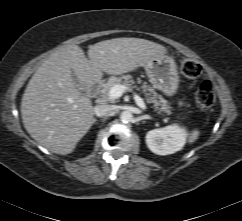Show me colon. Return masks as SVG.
Listing matches in <instances>:
<instances>
[{
    "mask_svg": "<svg viewBox=\"0 0 242 221\" xmlns=\"http://www.w3.org/2000/svg\"><path fill=\"white\" fill-rule=\"evenodd\" d=\"M182 73L188 78H197L201 74V66L194 60L185 59L181 63ZM197 104L202 108H209L215 102V90L211 82H203L195 95Z\"/></svg>",
    "mask_w": 242,
    "mask_h": 221,
    "instance_id": "5ec220e1",
    "label": "colon"
}]
</instances>
